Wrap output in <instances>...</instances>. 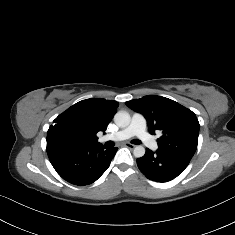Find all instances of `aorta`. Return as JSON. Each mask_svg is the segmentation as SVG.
Wrapping results in <instances>:
<instances>
[{
	"label": "aorta",
	"mask_w": 235,
	"mask_h": 235,
	"mask_svg": "<svg viewBox=\"0 0 235 235\" xmlns=\"http://www.w3.org/2000/svg\"><path fill=\"white\" fill-rule=\"evenodd\" d=\"M114 122L118 127H127L131 122L130 114L124 110L118 111L114 116ZM133 154L137 158L143 157L145 148L141 145H137L133 150Z\"/></svg>",
	"instance_id": "1"
}]
</instances>
